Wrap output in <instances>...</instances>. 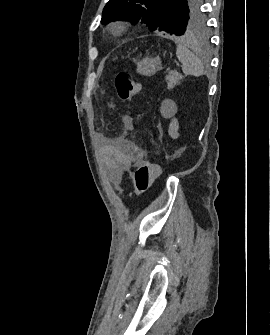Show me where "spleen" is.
I'll return each instance as SVG.
<instances>
[{"instance_id": "3e777b00", "label": "spleen", "mask_w": 270, "mask_h": 335, "mask_svg": "<svg viewBox=\"0 0 270 335\" xmlns=\"http://www.w3.org/2000/svg\"><path fill=\"white\" fill-rule=\"evenodd\" d=\"M175 44H177L176 56L182 64L183 74L185 76H202L204 66L198 56L186 48L184 38H176Z\"/></svg>"}]
</instances>
